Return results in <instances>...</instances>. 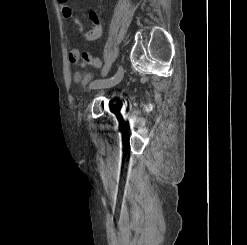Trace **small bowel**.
I'll return each instance as SVG.
<instances>
[{"label": "small bowel", "mask_w": 247, "mask_h": 245, "mask_svg": "<svg viewBox=\"0 0 247 245\" xmlns=\"http://www.w3.org/2000/svg\"><path fill=\"white\" fill-rule=\"evenodd\" d=\"M68 0H57V3L61 9V12L66 19H71L73 16L72 9L67 5ZM89 18L93 23V28L86 34H84V39L94 40L97 39L102 33V25L99 20L97 13L94 10L89 11ZM69 61L72 64L78 65L80 67H85L91 65L93 67L101 66V59L98 56H92L88 52H83L79 49H72L69 52Z\"/></svg>", "instance_id": "obj_1"}]
</instances>
